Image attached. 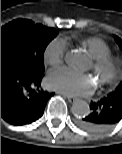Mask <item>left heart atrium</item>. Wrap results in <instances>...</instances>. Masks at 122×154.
Returning a JSON list of instances; mask_svg holds the SVG:
<instances>
[{"instance_id":"left-heart-atrium-1","label":"left heart atrium","mask_w":122,"mask_h":154,"mask_svg":"<svg viewBox=\"0 0 122 154\" xmlns=\"http://www.w3.org/2000/svg\"><path fill=\"white\" fill-rule=\"evenodd\" d=\"M47 85L51 89L69 96L89 95L94 89L89 75L80 74L68 68L51 70L47 77Z\"/></svg>"}]
</instances>
